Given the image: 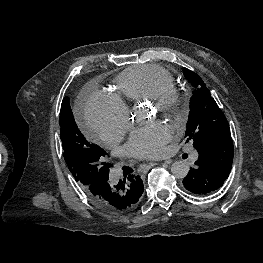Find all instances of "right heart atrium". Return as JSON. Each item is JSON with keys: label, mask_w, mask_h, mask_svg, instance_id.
<instances>
[{"label": "right heart atrium", "mask_w": 263, "mask_h": 263, "mask_svg": "<svg viewBox=\"0 0 263 263\" xmlns=\"http://www.w3.org/2000/svg\"><path fill=\"white\" fill-rule=\"evenodd\" d=\"M85 118L89 129L104 145L119 139L130 126L128 109L105 92H94L89 96Z\"/></svg>", "instance_id": "obj_1"}]
</instances>
